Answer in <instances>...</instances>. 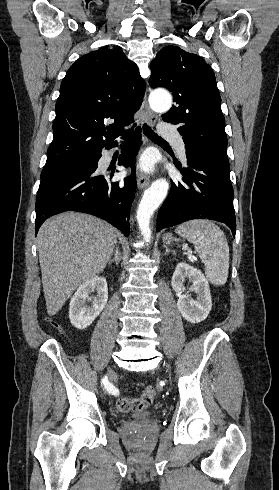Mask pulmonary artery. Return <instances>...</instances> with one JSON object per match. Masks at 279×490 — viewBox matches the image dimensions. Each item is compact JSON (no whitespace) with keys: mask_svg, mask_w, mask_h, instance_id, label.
<instances>
[{"mask_svg":"<svg viewBox=\"0 0 279 490\" xmlns=\"http://www.w3.org/2000/svg\"><path fill=\"white\" fill-rule=\"evenodd\" d=\"M158 129L161 131L160 137L163 140H175L179 135L178 128H171L169 122H159ZM176 146L181 154L185 153L184 143L181 140L176 142Z\"/></svg>","mask_w":279,"mask_h":490,"instance_id":"1","label":"pulmonary artery"}]
</instances>
